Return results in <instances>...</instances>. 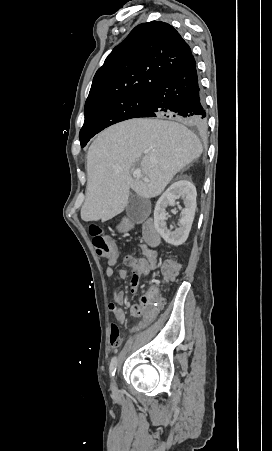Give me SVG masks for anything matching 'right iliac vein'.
<instances>
[{
    "mask_svg": "<svg viewBox=\"0 0 272 451\" xmlns=\"http://www.w3.org/2000/svg\"><path fill=\"white\" fill-rule=\"evenodd\" d=\"M113 390L115 391V386H113Z\"/></svg>",
    "mask_w": 272,
    "mask_h": 451,
    "instance_id": "63e3f726",
    "label": "right iliac vein"
}]
</instances>
